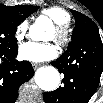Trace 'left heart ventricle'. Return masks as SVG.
<instances>
[{
	"mask_svg": "<svg viewBox=\"0 0 103 103\" xmlns=\"http://www.w3.org/2000/svg\"><path fill=\"white\" fill-rule=\"evenodd\" d=\"M53 36H55V30L53 31Z\"/></svg>",
	"mask_w": 103,
	"mask_h": 103,
	"instance_id": "obj_1",
	"label": "left heart ventricle"
}]
</instances>
